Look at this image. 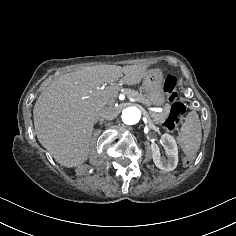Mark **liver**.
<instances>
[{
	"label": "liver",
	"mask_w": 236,
	"mask_h": 236,
	"mask_svg": "<svg viewBox=\"0 0 236 236\" xmlns=\"http://www.w3.org/2000/svg\"><path fill=\"white\" fill-rule=\"evenodd\" d=\"M150 64H101L60 75L39 95L33 122L40 145L62 167L75 168L89 159L94 125L118 116L113 96L120 87L139 85L152 74ZM104 83L105 89H98Z\"/></svg>",
	"instance_id": "obj_1"
}]
</instances>
